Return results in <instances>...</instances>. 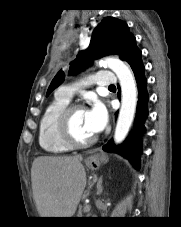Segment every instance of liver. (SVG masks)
<instances>
[{"label":"liver","instance_id":"6515ba94","mask_svg":"<svg viewBox=\"0 0 181 227\" xmlns=\"http://www.w3.org/2000/svg\"><path fill=\"white\" fill-rule=\"evenodd\" d=\"M82 156H42L33 161V197L41 217H72L86 186Z\"/></svg>","mask_w":181,"mask_h":227}]
</instances>
